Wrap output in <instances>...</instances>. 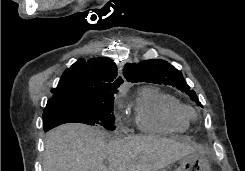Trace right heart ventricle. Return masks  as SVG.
Returning <instances> with one entry per match:
<instances>
[{"label":"right heart ventricle","mask_w":245,"mask_h":171,"mask_svg":"<svg viewBox=\"0 0 245 171\" xmlns=\"http://www.w3.org/2000/svg\"><path fill=\"white\" fill-rule=\"evenodd\" d=\"M185 109L176 97L147 86L137 95L134 119L138 128L145 133L182 132L189 126Z\"/></svg>","instance_id":"right-heart-ventricle-1"}]
</instances>
